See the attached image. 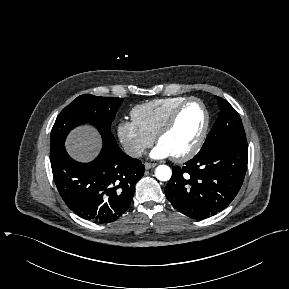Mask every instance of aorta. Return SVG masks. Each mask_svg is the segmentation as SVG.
Instances as JSON below:
<instances>
[{"instance_id": "762f6f07", "label": "aorta", "mask_w": 289, "mask_h": 289, "mask_svg": "<svg viewBox=\"0 0 289 289\" xmlns=\"http://www.w3.org/2000/svg\"><path fill=\"white\" fill-rule=\"evenodd\" d=\"M155 176L160 181H168L172 176V171L167 165H159L155 170Z\"/></svg>"}]
</instances>
